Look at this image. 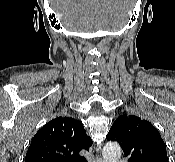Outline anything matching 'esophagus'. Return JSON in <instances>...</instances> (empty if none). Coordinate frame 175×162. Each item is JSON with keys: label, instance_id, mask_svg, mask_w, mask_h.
Returning <instances> with one entry per match:
<instances>
[{"label": "esophagus", "instance_id": "obj_1", "mask_svg": "<svg viewBox=\"0 0 175 162\" xmlns=\"http://www.w3.org/2000/svg\"><path fill=\"white\" fill-rule=\"evenodd\" d=\"M94 162H102V159L99 156H96Z\"/></svg>", "mask_w": 175, "mask_h": 162}]
</instances>
